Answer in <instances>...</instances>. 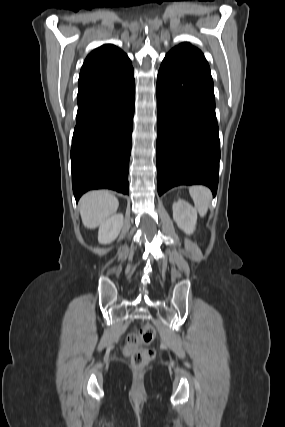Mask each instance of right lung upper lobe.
Returning a JSON list of instances; mask_svg holds the SVG:
<instances>
[{"mask_svg": "<svg viewBox=\"0 0 285 427\" xmlns=\"http://www.w3.org/2000/svg\"><path fill=\"white\" fill-rule=\"evenodd\" d=\"M132 64L118 47L105 44L93 50L80 71L78 93L94 88L128 72Z\"/></svg>", "mask_w": 285, "mask_h": 427, "instance_id": "obj_1", "label": "right lung upper lobe"}]
</instances>
